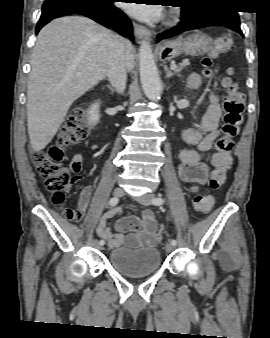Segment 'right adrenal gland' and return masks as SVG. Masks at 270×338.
<instances>
[{"label":"right adrenal gland","mask_w":270,"mask_h":338,"mask_svg":"<svg viewBox=\"0 0 270 338\" xmlns=\"http://www.w3.org/2000/svg\"><path fill=\"white\" fill-rule=\"evenodd\" d=\"M108 88L110 89V91H111L112 94L115 93V90H114V88L111 85H108Z\"/></svg>","instance_id":"obj_1"}]
</instances>
